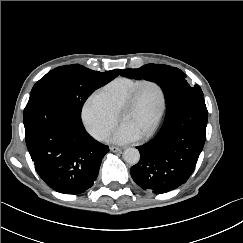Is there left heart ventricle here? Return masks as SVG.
Returning <instances> with one entry per match:
<instances>
[{"label": "left heart ventricle", "mask_w": 243, "mask_h": 243, "mask_svg": "<svg viewBox=\"0 0 243 243\" xmlns=\"http://www.w3.org/2000/svg\"><path fill=\"white\" fill-rule=\"evenodd\" d=\"M160 108L159 89L154 84H146L140 89L133 108L123 114L121 122L141 135L153 125Z\"/></svg>", "instance_id": "1"}]
</instances>
